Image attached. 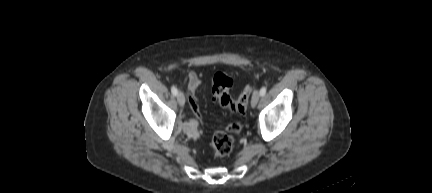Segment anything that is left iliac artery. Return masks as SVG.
<instances>
[{
	"label": "left iliac artery",
	"mask_w": 432,
	"mask_h": 193,
	"mask_svg": "<svg viewBox=\"0 0 432 193\" xmlns=\"http://www.w3.org/2000/svg\"><path fill=\"white\" fill-rule=\"evenodd\" d=\"M266 87L265 86H263L261 89H260V95L261 96H264L265 94H266Z\"/></svg>",
	"instance_id": "1"
}]
</instances>
